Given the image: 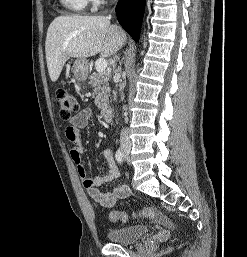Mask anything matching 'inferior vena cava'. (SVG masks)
Listing matches in <instances>:
<instances>
[{
    "label": "inferior vena cava",
    "instance_id": "obj_1",
    "mask_svg": "<svg viewBox=\"0 0 247 257\" xmlns=\"http://www.w3.org/2000/svg\"><path fill=\"white\" fill-rule=\"evenodd\" d=\"M120 144L124 147H131V141L127 130L123 129L120 134Z\"/></svg>",
    "mask_w": 247,
    "mask_h": 257
}]
</instances>
